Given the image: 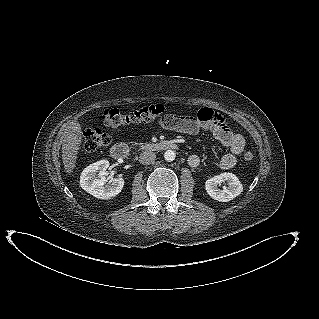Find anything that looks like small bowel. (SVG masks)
Returning <instances> with one entry per match:
<instances>
[{
	"label": "small bowel",
	"instance_id": "c3829d8e",
	"mask_svg": "<svg viewBox=\"0 0 319 319\" xmlns=\"http://www.w3.org/2000/svg\"><path fill=\"white\" fill-rule=\"evenodd\" d=\"M159 123L166 129L189 135H196L201 130L209 131L229 151L219 161L220 168L224 170L236 165L237 157L245 147L244 137L233 131L221 115L209 108L201 109L196 117L174 116L161 120ZM188 163L196 168L200 165L201 159L198 155L192 154L188 158Z\"/></svg>",
	"mask_w": 319,
	"mask_h": 319
}]
</instances>
